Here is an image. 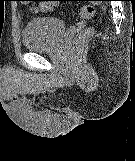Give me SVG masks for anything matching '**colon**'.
<instances>
[{
    "label": "colon",
    "mask_w": 135,
    "mask_h": 161,
    "mask_svg": "<svg viewBox=\"0 0 135 161\" xmlns=\"http://www.w3.org/2000/svg\"><path fill=\"white\" fill-rule=\"evenodd\" d=\"M93 13H94L93 5H84L80 10V15L85 18L91 17ZM93 32H94L93 28H87L83 30L74 40L75 48H80L85 43V41L90 36H92Z\"/></svg>",
    "instance_id": "colon-1"
}]
</instances>
